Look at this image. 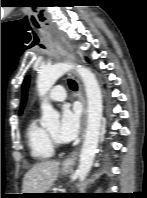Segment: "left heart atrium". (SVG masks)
<instances>
[{
    "mask_svg": "<svg viewBox=\"0 0 147 198\" xmlns=\"http://www.w3.org/2000/svg\"><path fill=\"white\" fill-rule=\"evenodd\" d=\"M79 126L78 111L65 106L62 109L60 123L56 131L57 140L64 143L73 140L79 131Z\"/></svg>",
    "mask_w": 147,
    "mask_h": 198,
    "instance_id": "left-heart-atrium-1",
    "label": "left heart atrium"
}]
</instances>
